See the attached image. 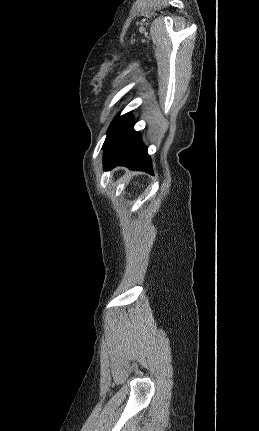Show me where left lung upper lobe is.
<instances>
[{"instance_id":"left-lung-upper-lobe-1","label":"left lung upper lobe","mask_w":259,"mask_h":431,"mask_svg":"<svg viewBox=\"0 0 259 431\" xmlns=\"http://www.w3.org/2000/svg\"><path fill=\"white\" fill-rule=\"evenodd\" d=\"M131 112H129V113H126V114H124V115H122V116H116L115 117V119L113 120V122L111 123V125H110V127H109V129H108V131H107V137H106V139H105V141L107 140V138L111 135V133L115 130V128L130 114Z\"/></svg>"}]
</instances>
